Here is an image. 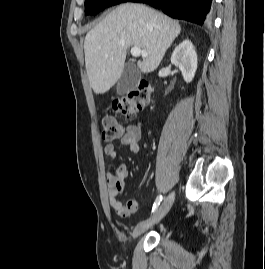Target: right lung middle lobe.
I'll return each instance as SVG.
<instances>
[{
	"mask_svg": "<svg viewBox=\"0 0 265 269\" xmlns=\"http://www.w3.org/2000/svg\"><path fill=\"white\" fill-rule=\"evenodd\" d=\"M128 0H85V15H96L101 10Z\"/></svg>",
	"mask_w": 265,
	"mask_h": 269,
	"instance_id": "right-lung-middle-lobe-1",
	"label": "right lung middle lobe"
}]
</instances>
